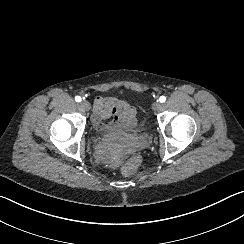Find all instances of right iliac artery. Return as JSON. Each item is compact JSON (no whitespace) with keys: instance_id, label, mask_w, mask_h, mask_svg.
<instances>
[{"instance_id":"right-iliac-artery-1","label":"right iliac artery","mask_w":244,"mask_h":244,"mask_svg":"<svg viewBox=\"0 0 244 244\" xmlns=\"http://www.w3.org/2000/svg\"><path fill=\"white\" fill-rule=\"evenodd\" d=\"M75 101H76V102H80V101H81V97H80V96H76V97H75Z\"/></svg>"}]
</instances>
